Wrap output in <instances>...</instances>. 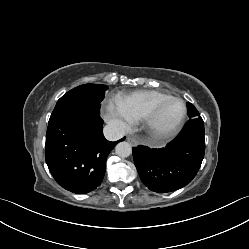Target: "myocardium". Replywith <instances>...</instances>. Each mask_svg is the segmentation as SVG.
I'll use <instances>...</instances> for the list:
<instances>
[{
  "mask_svg": "<svg viewBox=\"0 0 249 249\" xmlns=\"http://www.w3.org/2000/svg\"><path fill=\"white\" fill-rule=\"evenodd\" d=\"M173 101H177L182 105L181 115L172 128L168 130H164V131H158L155 127V122L158 118V115L168 103L173 102ZM186 114H187V107H186L185 102L181 98L171 96L157 103L155 106H153L145 114L142 120L144 123V127L146 129V132L151 138H153L154 140H167L178 133V131L180 130V128L182 127L184 123Z\"/></svg>",
  "mask_w": 249,
  "mask_h": 249,
  "instance_id": "myocardium-1",
  "label": "myocardium"
}]
</instances>
